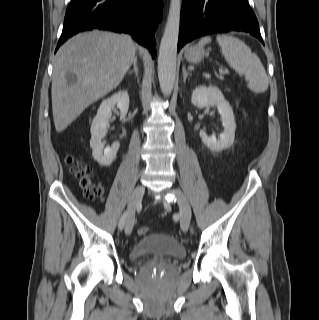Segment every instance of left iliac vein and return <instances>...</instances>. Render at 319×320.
<instances>
[{
    "label": "left iliac vein",
    "mask_w": 319,
    "mask_h": 320,
    "mask_svg": "<svg viewBox=\"0 0 319 320\" xmlns=\"http://www.w3.org/2000/svg\"><path fill=\"white\" fill-rule=\"evenodd\" d=\"M169 192L175 195L180 208V225L183 231H187L190 226L192 211L188 199L184 193L178 189H171Z\"/></svg>",
    "instance_id": "obj_1"
}]
</instances>
